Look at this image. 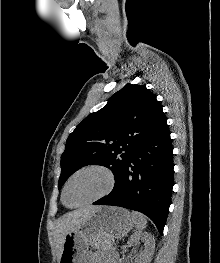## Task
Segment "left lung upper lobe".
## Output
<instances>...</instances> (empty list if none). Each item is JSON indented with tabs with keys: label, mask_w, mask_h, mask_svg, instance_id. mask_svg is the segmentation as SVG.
Wrapping results in <instances>:
<instances>
[{
	"label": "left lung upper lobe",
	"mask_w": 220,
	"mask_h": 263,
	"mask_svg": "<svg viewBox=\"0 0 220 263\" xmlns=\"http://www.w3.org/2000/svg\"><path fill=\"white\" fill-rule=\"evenodd\" d=\"M164 118L162 107L150 90L126 84L67 138L59 189L71 174L89 164L109 168L117 181L136 145Z\"/></svg>",
	"instance_id": "left-lung-upper-lobe-1"
}]
</instances>
